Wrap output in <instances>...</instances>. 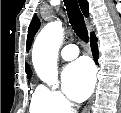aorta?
Wrapping results in <instances>:
<instances>
[{
	"instance_id": "1",
	"label": "aorta",
	"mask_w": 121,
	"mask_h": 113,
	"mask_svg": "<svg viewBox=\"0 0 121 113\" xmlns=\"http://www.w3.org/2000/svg\"><path fill=\"white\" fill-rule=\"evenodd\" d=\"M64 29L61 21L48 23L37 35L32 62L38 77L48 85L57 86V57Z\"/></svg>"
}]
</instances>
